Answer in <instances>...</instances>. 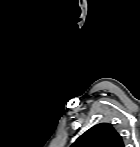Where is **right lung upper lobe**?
<instances>
[{
	"label": "right lung upper lobe",
	"mask_w": 140,
	"mask_h": 147,
	"mask_svg": "<svg viewBox=\"0 0 140 147\" xmlns=\"http://www.w3.org/2000/svg\"><path fill=\"white\" fill-rule=\"evenodd\" d=\"M73 147H124L122 137L112 125L101 123L95 125L80 136Z\"/></svg>",
	"instance_id": "obj_1"
}]
</instances>
